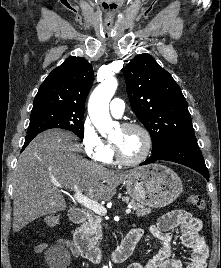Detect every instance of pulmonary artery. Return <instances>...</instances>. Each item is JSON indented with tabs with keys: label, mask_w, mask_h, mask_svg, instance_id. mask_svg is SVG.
Segmentation results:
<instances>
[{
	"label": "pulmonary artery",
	"mask_w": 221,
	"mask_h": 268,
	"mask_svg": "<svg viewBox=\"0 0 221 268\" xmlns=\"http://www.w3.org/2000/svg\"><path fill=\"white\" fill-rule=\"evenodd\" d=\"M124 108H125L124 102L119 98L113 99L109 106L112 116L116 118H120L123 115Z\"/></svg>",
	"instance_id": "e3ab8cb5"
}]
</instances>
